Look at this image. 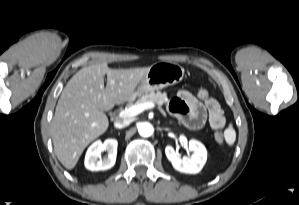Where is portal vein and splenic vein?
I'll return each instance as SVG.
<instances>
[{
	"label": "portal vein and splenic vein",
	"mask_w": 299,
	"mask_h": 205,
	"mask_svg": "<svg viewBox=\"0 0 299 205\" xmlns=\"http://www.w3.org/2000/svg\"><path fill=\"white\" fill-rule=\"evenodd\" d=\"M154 107H155V104L153 102H146V103H142V104H136V105H133L129 108H126L125 110H122L119 113V117L120 118L134 117V116L140 114L141 112H143L144 110L152 109Z\"/></svg>",
	"instance_id": "1"
}]
</instances>
